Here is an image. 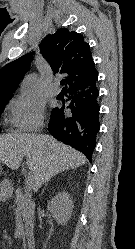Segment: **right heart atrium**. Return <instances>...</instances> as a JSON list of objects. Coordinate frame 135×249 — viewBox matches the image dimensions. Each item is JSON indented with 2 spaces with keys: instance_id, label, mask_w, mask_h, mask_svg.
Here are the masks:
<instances>
[{
  "instance_id": "right-heart-atrium-1",
  "label": "right heart atrium",
  "mask_w": 135,
  "mask_h": 249,
  "mask_svg": "<svg viewBox=\"0 0 135 249\" xmlns=\"http://www.w3.org/2000/svg\"><path fill=\"white\" fill-rule=\"evenodd\" d=\"M11 123L19 133H30L40 130L44 122V107L33 98L14 97L10 104Z\"/></svg>"
}]
</instances>
